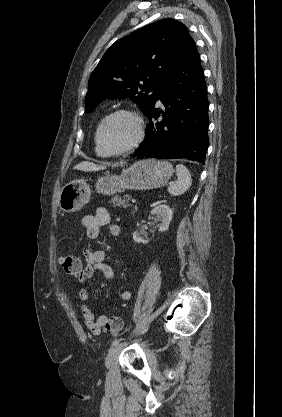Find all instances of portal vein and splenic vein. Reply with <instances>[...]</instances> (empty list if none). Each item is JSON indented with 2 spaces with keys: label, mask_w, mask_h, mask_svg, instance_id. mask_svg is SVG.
<instances>
[{
  "label": "portal vein and splenic vein",
  "mask_w": 282,
  "mask_h": 417,
  "mask_svg": "<svg viewBox=\"0 0 282 417\" xmlns=\"http://www.w3.org/2000/svg\"><path fill=\"white\" fill-rule=\"evenodd\" d=\"M132 202H133V203H136V202H137V199H136V198H133V199H132Z\"/></svg>",
  "instance_id": "1"
}]
</instances>
